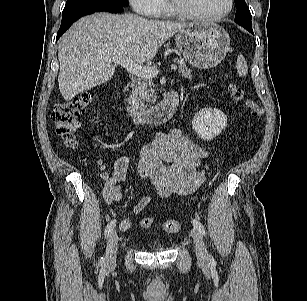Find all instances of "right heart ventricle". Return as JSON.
Here are the masks:
<instances>
[{"label": "right heart ventricle", "mask_w": 307, "mask_h": 301, "mask_svg": "<svg viewBox=\"0 0 307 301\" xmlns=\"http://www.w3.org/2000/svg\"><path fill=\"white\" fill-rule=\"evenodd\" d=\"M164 13L166 14V15H169L170 13L167 11V9L164 7Z\"/></svg>", "instance_id": "obj_1"}]
</instances>
